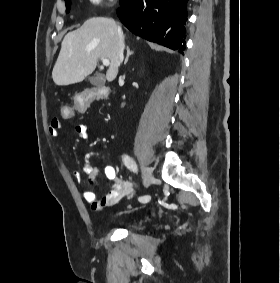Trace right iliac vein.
<instances>
[{"label": "right iliac vein", "instance_id": "obj_1", "mask_svg": "<svg viewBox=\"0 0 280 283\" xmlns=\"http://www.w3.org/2000/svg\"><path fill=\"white\" fill-rule=\"evenodd\" d=\"M152 170L149 167L143 168V183L145 187H149L152 183Z\"/></svg>", "mask_w": 280, "mask_h": 283}]
</instances>
